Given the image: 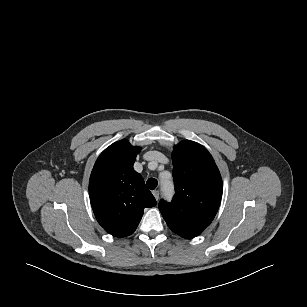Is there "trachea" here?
I'll return each mask as SVG.
<instances>
[{
  "mask_svg": "<svg viewBox=\"0 0 307 307\" xmlns=\"http://www.w3.org/2000/svg\"><path fill=\"white\" fill-rule=\"evenodd\" d=\"M146 184L150 190H154L158 185V181L155 178H149Z\"/></svg>",
  "mask_w": 307,
  "mask_h": 307,
  "instance_id": "obj_1",
  "label": "trachea"
}]
</instances>
